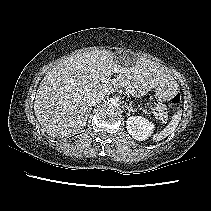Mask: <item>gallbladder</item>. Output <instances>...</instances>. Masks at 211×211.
<instances>
[{
  "label": "gallbladder",
  "instance_id": "obj_1",
  "mask_svg": "<svg viewBox=\"0 0 211 211\" xmlns=\"http://www.w3.org/2000/svg\"><path fill=\"white\" fill-rule=\"evenodd\" d=\"M126 54V53H125ZM118 56H121V54L119 53V54H117Z\"/></svg>",
  "mask_w": 211,
  "mask_h": 211
}]
</instances>
